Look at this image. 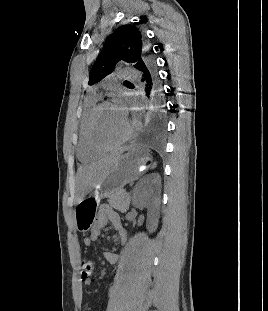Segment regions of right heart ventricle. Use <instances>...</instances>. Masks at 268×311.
<instances>
[{"instance_id":"1","label":"right heart ventricle","mask_w":268,"mask_h":311,"mask_svg":"<svg viewBox=\"0 0 268 311\" xmlns=\"http://www.w3.org/2000/svg\"><path fill=\"white\" fill-rule=\"evenodd\" d=\"M97 99L90 98L85 105L83 113L80 117V124H79V138L77 143V154L81 161L88 162L91 160L96 159L99 156V152L93 150L90 145L88 144L87 137H86V122L87 119L96 106Z\"/></svg>"}]
</instances>
